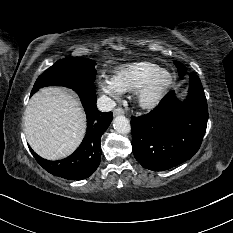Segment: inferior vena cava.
<instances>
[{
	"label": "inferior vena cava",
	"instance_id": "602c4592",
	"mask_svg": "<svg viewBox=\"0 0 233 233\" xmlns=\"http://www.w3.org/2000/svg\"><path fill=\"white\" fill-rule=\"evenodd\" d=\"M116 106L115 101L107 96H100L97 99V107L101 112H109L112 111Z\"/></svg>",
	"mask_w": 233,
	"mask_h": 233
}]
</instances>
